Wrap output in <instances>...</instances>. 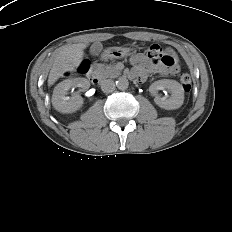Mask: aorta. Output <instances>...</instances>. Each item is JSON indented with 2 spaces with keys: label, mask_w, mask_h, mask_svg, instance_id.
Masks as SVG:
<instances>
[{
  "label": "aorta",
  "mask_w": 232,
  "mask_h": 232,
  "mask_svg": "<svg viewBox=\"0 0 232 232\" xmlns=\"http://www.w3.org/2000/svg\"><path fill=\"white\" fill-rule=\"evenodd\" d=\"M116 86L120 90H126L129 86L128 79L126 77H120L116 81Z\"/></svg>",
  "instance_id": "1"
}]
</instances>
